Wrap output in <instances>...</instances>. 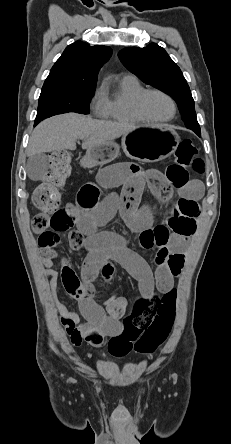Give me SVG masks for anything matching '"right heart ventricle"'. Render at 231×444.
<instances>
[{
    "label": "right heart ventricle",
    "mask_w": 231,
    "mask_h": 444,
    "mask_svg": "<svg viewBox=\"0 0 231 444\" xmlns=\"http://www.w3.org/2000/svg\"><path fill=\"white\" fill-rule=\"evenodd\" d=\"M144 86L134 76H125L120 80L119 92L108 99V108L104 117L122 124L143 122L134 111V101Z\"/></svg>",
    "instance_id": "right-heart-ventricle-1"
}]
</instances>
